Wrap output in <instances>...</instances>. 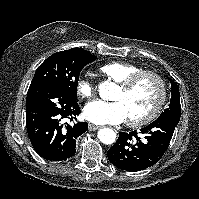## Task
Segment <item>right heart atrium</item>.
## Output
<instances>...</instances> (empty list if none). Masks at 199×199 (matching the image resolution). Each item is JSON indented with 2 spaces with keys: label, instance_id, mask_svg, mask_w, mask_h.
<instances>
[{
  "label": "right heart atrium",
  "instance_id": "1",
  "mask_svg": "<svg viewBox=\"0 0 199 199\" xmlns=\"http://www.w3.org/2000/svg\"><path fill=\"white\" fill-rule=\"evenodd\" d=\"M95 92V85L92 80L86 77H79L76 82V93L82 99L91 98Z\"/></svg>",
  "mask_w": 199,
  "mask_h": 199
}]
</instances>
